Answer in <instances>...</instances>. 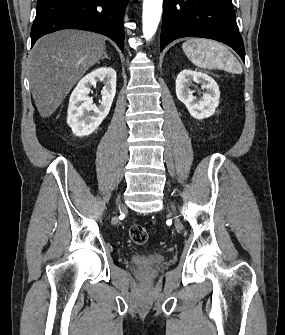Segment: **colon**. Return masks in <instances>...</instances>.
Returning a JSON list of instances; mask_svg holds the SVG:
<instances>
[{"label":"colon","instance_id":"1","mask_svg":"<svg viewBox=\"0 0 285 335\" xmlns=\"http://www.w3.org/2000/svg\"><path fill=\"white\" fill-rule=\"evenodd\" d=\"M130 239L136 244H144L148 240V233L145 227L134 224L129 229Z\"/></svg>","mask_w":285,"mask_h":335}]
</instances>
